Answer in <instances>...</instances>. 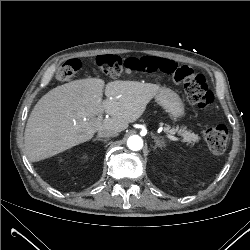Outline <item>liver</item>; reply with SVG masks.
Listing matches in <instances>:
<instances>
[{
  "mask_svg": "<svg viewBox=\"0 0 250 250\" xmlns=\"http://www.w3.org/2000/svg\"><path fill=\"white\" fill-rule=\"evenodd\" d=\"M98 78L75 80L50 90L34 106L25 128L26 154L32 162L90 140L102 129L121 132L142 116L161 89L152 83ZM106 112L110 118H102Z\"/></svg>",
  "mask_w": 250,
  "mask_h": 250,
  "instance_id": "liver-1",
  "label": "liver"
}]
</instances>
